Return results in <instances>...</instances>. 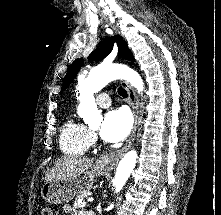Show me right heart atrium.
<instances>
[{"label": "right heart atrium", "instance_id": "obj_1", "mask_svg": "<svg viewBox=\"0 0 221 215\" xmlns=\"http://www.w3.org/2000/svg\"><path fill=\"white\" fill-rule=\"evenodd\" d=\"M90 137H91V142L93 143L95 141V139H96L94 133L91 132L90 133Z\"/></svg>", "mask_w": 221, "mask_h": 215}]
</instances>
